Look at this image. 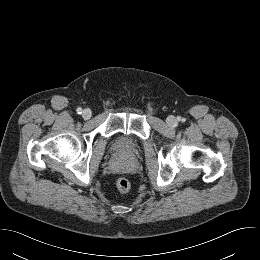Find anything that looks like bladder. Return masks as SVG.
<instances>
[{
    "mask_svg": "<svg viewBox=\"0 0 260 260\" xmlns=\"http://www.w3.org/2000/svg\"><path fill=\"white\" fill-rule=\"evenodd\" d=\"M115 149L120 152H135L138 149V143L124 136L116 141Z\"/></svg>",
    "mask_w": 260,
    "mask_h": 260,
    "instance_id": "obj_1",
    "label": "bladder"
}]
</instances>
